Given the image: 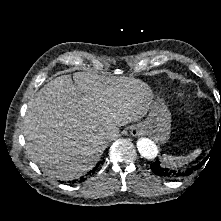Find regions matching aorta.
Segmentation results:
<instances>
[{"mask_svg":"<svg viewBox=\"0 0 221 221\" xmlns=\"http://www.w3.org/2000/svg\"><path fill=\"white\" fill-rule=\"evenodd\" d=\"M137 149L139 153L147 159H155L158 155L156 144L148 138H140L137 140Z\"/></svg>","mask_w":221,"mask_h":221,"instance_id":"1","label":"aorta"}]
</instances>
